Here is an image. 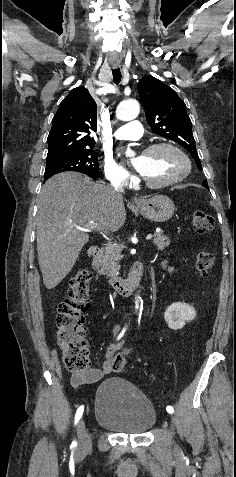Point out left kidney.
<instances>
[{
  "label": "left kidney",
  "instance_id": "5707ae66",
  "mask_svg": "<svg viewBox=\"0 0 236 477\" xmlns=\"http://www.w3.org/2000/svg\"><path fill=\"white\" fill-rule=\"evenodd\" d=\"M195 317L194 307L181 302L171 304L164 313V319L168 327L173 330L183 328L186 322L194 320Z\"/></svg>",
  "mask_w": 236,
  "mask_h": 477
}]
</instances>
